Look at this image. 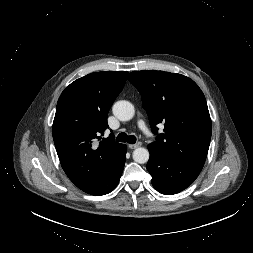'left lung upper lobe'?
<instances>
[{
	"mask_svg": "<svg viewBox=\"0 0 253 253\" xmlns=\"http://www.w3.org/2000/svg\"><path fill=\"white\" fill-rule=\"evenodd\" d=\"M128 80L141 94L152 131L164 133L150 145L170 160L201 171L207 157L212 125L205 96L190 78L164 71L144 70Z\"/></svg>",
	"mask_w": 253,
	"mask_h": 253,
	"instance_id": "1",
	"label": "left lung upper lobe"
}]
</instances>
